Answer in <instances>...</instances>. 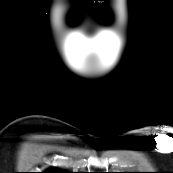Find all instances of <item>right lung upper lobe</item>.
Here are the masks:
<instances>
[{"label":"right lung upper lobe","mask_w":173,"mask_h":173,"mask_svg":"<svg viewBox=\"0 0 173 173\" xmlns=\"http://www.w3.org/2000/svg\"><path fill=\"white\" fill-rule=\"evenodd\" d=\"M44 173H69V172H63V171H60V170H57V169H50Z\"/></svg>","instance_id":"obj_1"}]
</instances>
